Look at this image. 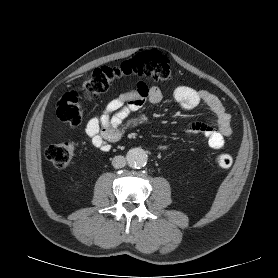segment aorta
Instances as JSON below:
<instances>
[{
  "mask_svg": "<svg viewBox=\"0 0 278 278\" xmlns=\"http://www.w3.org/2000/svg\"><path fill=\"white\" fill-rule=\"evenodd\" d=\"M126 159L131 168L139 169L147 164L148 155L142 148H133L127 152Z\"/></svg>",
  "mask_w": 278,
  "mask_h": 278,
  "instance_id": "1",
  "label": "aorta"
}]
</instances>
